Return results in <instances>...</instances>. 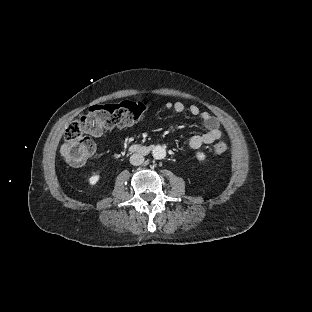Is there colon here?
<instances>
[{
    "label": "colon",
    "instance_id": "5ec220e1",
    "mask_svg": "<svg viewBox=\"0 0 312 312\" xmlns=\"http://www.w3.org/2000/svg\"><path fill=\"white\" fill-rule=\"evenodd\" d=\"M148 106L143 101H123L116 104L91 106L71 124L64 133L62 153L72 166L83 165L94 152L91 136L101 135L114 127H122L138 123L146 113ZM228 150L226 142L215 144L213 151L224 154Z\"/></svg>",
    "mask_w": 312,
    "mask_h": 312
}]
</instances>
